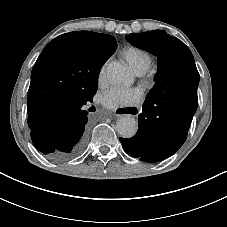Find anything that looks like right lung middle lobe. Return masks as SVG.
<instances>
[{
  "mask_svg": "<svg viewBox=\"0 0 227 227\" xmlns=\"http://www.w3.org/2000/svg\"><path fill=\"white\" fill-rule=\"evenodd\" d=\"M114 50L108 53L83 55L82 57L89 63V86L86 94L94 95L97 90L98 75L104 62L113 54Z\"/></svg>",
  "mask_w": 227,
  "mask_h": 227,
  "instance_id": "right-lung-middle-lobe-1",
  "label": "right lung middle lobe"
}]
</instances>
